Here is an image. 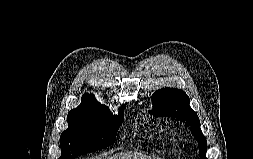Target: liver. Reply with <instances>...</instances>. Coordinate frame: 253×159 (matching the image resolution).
I'll return each mask as SVG.
<instances>
[{
    "label": "liver",
    "instance_id": "obj_1",
    "mask_svg": "<svg viewBox=\"0 0 253 159\" xmlns=\"http://www.w3.org/2000/svg\"><path fill=\"white\" fill-rule=\"evenodd\" d=\"M107 159H150V158L138 152H121L113 156H110Z\"/></svg>",
    "mask_w": 253,
    "mask_h": 159
}]
</instances>
